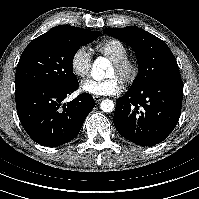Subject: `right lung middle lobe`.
Returning <instances> with one entry per match:
<instances>
[{
  "label": "right lung middle lobe",
  "mask_w": 199,
  "mask_h": 199,
  "mask_svg": "<svg viewBox=\"0 0 199 199\" xmlns=\"http://www.w3.org/2000/svg\"><path fill=\"white\" fill-rule=\"evenodd\" d=\"M100 35L82 28L51 29L32 40L19 60L15 86L45 84L53 87L77 82L72 62L77 50Z\"/></svg>",
  "instance_id": "1"
}]
</instances>
